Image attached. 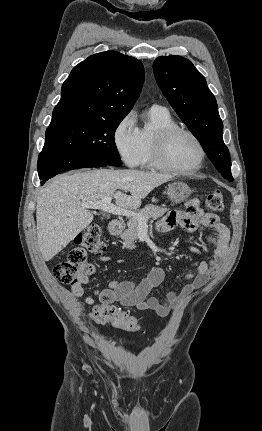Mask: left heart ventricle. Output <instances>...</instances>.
Masks as SVG:
<instances>
[{"mask_svg": "<svg viewBox=\"0 0 262 431\" xmlns=\"http://www.w3.org/2000/svg\"><path fill=\"white\" fill-rule=\"evenodd\" d=\"M167 157L172 165L191 170L197 166L200 152L192 138L186 134H177L168 143Z\"/></svg>", "mask_w": 262, "mask_h": 431, "instance_id": "obj_1", "label": "left heart ventricle"}]
</instances>
